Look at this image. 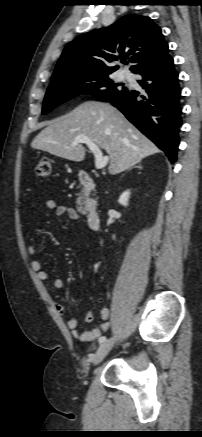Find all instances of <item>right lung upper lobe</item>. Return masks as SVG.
Wrapping results in <instances>:
<instances>
[{
    "label": "right lung upper lobe",
    "instance_id": "cb5924a9",
    "mask_svg": "<svg viewBox=\"0 0 202 437\" xmlns=\"http://www.w3.org/2000/svg\"><path fill=\"white\" fill-rule=\"evenodd\" d=\"M131 57L136 73L158 64L168 54L161 29L147 16L126 15L107 28L82 34L64 49L52 82L82 76L111 74L118 66L107 64Z\"/></svg>",
    "mask_w": 202,
    "mask_h": 437
}]
</instances>
